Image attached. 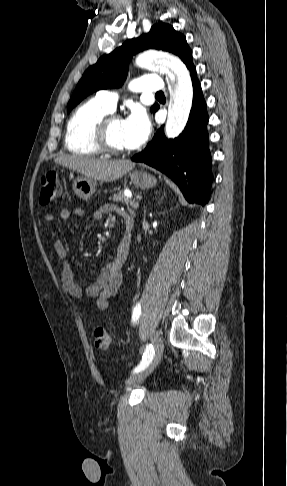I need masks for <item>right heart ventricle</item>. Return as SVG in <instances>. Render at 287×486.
Masks as SVG:
<instances>
[{
  "label": "right heart ventricle",
  "mask_w": 287,
  "mask_h": 486,
  "mask_svg": "<svg viewBox=\"0 0 287 486\" xmlns=\"http://www.w3.org/2000/svg\"><path fill=\"white\" fill-rule=\"evenodd\" d=\"M111 110L97 98L81 104L67 122L65 147L75 155L94 157L102 152L94 142L96 124Z\"/></svg>",
  "instance_id": "e07e8e85"
}]
</instances>
